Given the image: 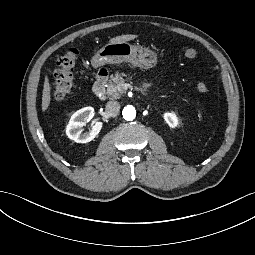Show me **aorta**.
<instances>
[{
  "instance_id": "aorta-1",
  "label": "aorta",
  "mask_w": 255,
  "mask_h": 255,
  "mask_svg": "<svg viewBox=\"0 0 255 255\" xmlns=\"http://www.w3.org/2000/svg\"><path fill=\"white\" fill-rule=\"evenodd\" d=\"M122 115L125 120L131 121L136 117V110L133 106L127 105L122 111Z\"/></svg>"
}]
</instances>
